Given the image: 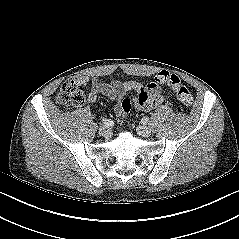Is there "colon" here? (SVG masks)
<instances>
[{
  "label": "colon",
  "mask_w": 239,
  "mask_h": 239,
  "mask_svg": "<svg viewBox=\"0 0 239 239\" xmlns=\"http://www.w3.org/2000/svg\"><path fill=\"white\" fill-rule=\"evenodd\" d=\"M154 81L157 83H167L182 104L189 106L193 103L192 94L176 74L168 71H160L154 76ZM129 93L128 96L121 101L119 106L120 122L123 121L132 106ZM56 100L58 104L65 106H81L86 102V95L75 80L68 79L62 83Z\"/></svg>",
  "instance_id": "1"
}]
</instances>
